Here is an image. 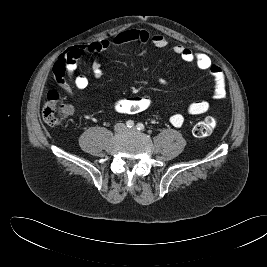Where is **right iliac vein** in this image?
Wrapping results in <instances>:
<instances>
[{"instance_id": "right-iliac-vein-1", "label": "right iliac vein", "mask_w": 267, "mask_h": 267, "mask_svg": "<svg viewBox=\"0 0 267 267\" xmlns=\"http://www.w3.org/2000/svg\"><path fill=\"white\" fill-rule=\"evenodd\" d=\"M126 126L123 123H118L114 126L115 131L120 132L123 131Z\"/></svg>"}]
</instances>
